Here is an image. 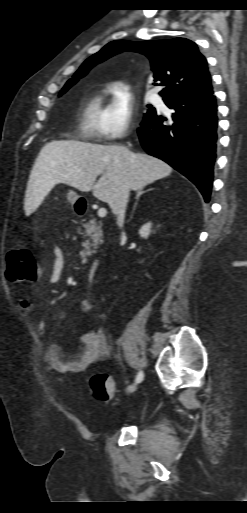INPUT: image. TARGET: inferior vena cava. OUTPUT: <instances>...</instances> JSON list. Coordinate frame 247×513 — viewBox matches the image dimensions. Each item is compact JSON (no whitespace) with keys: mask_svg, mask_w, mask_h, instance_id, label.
<instances>
[{"mask_svg":"<svg viewBox=\"0 0 247 513\" xmlns=\"http://www.w3.org/2000/svg\"><path fill=\"white\" fill-rule=\"evenodd\" d=\"M130 186L123 185L120 188V191L118 192L116 196L115 202L112 204V210L117 215V223L118 225H122L124 222V216H125V210L130 194Z\"/></svg>","mask_w":247,"mask_h":513,"instance_id":"obj_1","label":"inferior vena cava"}]
</instances>
